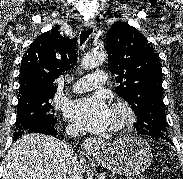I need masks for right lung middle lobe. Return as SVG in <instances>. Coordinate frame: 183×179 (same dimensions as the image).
Returning <instances> with one entry per match:
<instances>
[{
    "mask_svg": "<svg viewBox=\"0 0 183 179\" xmlns=\"http://www.w3.org/2000/svg\"><path fill=\"white\" fill-rule=\"evenodd\" d=\"M53 97L54 95H39L19 98L14 135L26 129L55 124V110L49 103Z\"/></svg>",
    "mask_w": 183,
    "mask_h": 179,
    "instance_id": "1",
    "label": "right lung middle lobe"
}]
</instances>
